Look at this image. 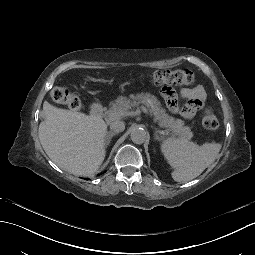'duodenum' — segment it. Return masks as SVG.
Masks as SVG:
<instances>
[{"label": "duodenum", "instance_id": "duodenum-1", "mask_svg": "<svg viewBox=\"0 0 255 255\" xmlns=\"http://www.w3.org/2000/svg\"><path fill=\"white\" fill-rule=\"evenodd\" d=\"M103 115V106L99 102H94L90 107V116L95 119L101 118Z\"/></svg>", "mask_w": 255, "mask_h": 255}]
</instances>
